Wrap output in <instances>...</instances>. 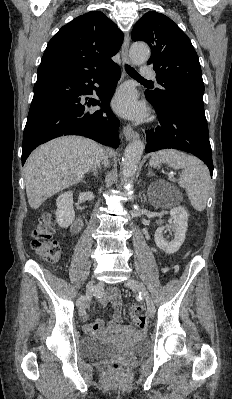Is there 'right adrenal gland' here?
<instances>
[{"label": "right adrenal gland", "instance_id": "2a0ac1e0", "mask_svg": "<svg viewBox=\"0 0 232 399\" xmlns=\"http://www.w3.org/2000/svg\"><path fill=\"white\" fill-rule=\"evenodd\" d=\"M98 170H99V168H97V166H95V168H91V170H88V172H86V174H89V172H92L93 176H98Z\"/></svg>", "mask_w": 232, "mask_h": 399}]
</instances>
